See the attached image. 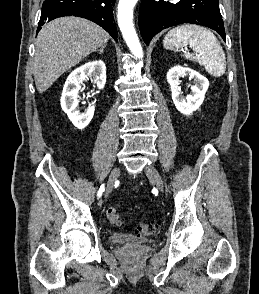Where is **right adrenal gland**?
<instances>
[{"label":"right adrenal gland","mask_w":259,"mask_h":294,"mask_svg":"<svg viewBox=\"0 0 259 294\" xmlns=\"http://www.w3.org/2000/svg\"><path fill=\"white\" fill-rule=\"evenodd\" d=\"M106 47V45L102 46L99 50H97L100 54L104 53V48Z\"/></svg>","instance_id":"2a0ac1e0"}]
</instances>
